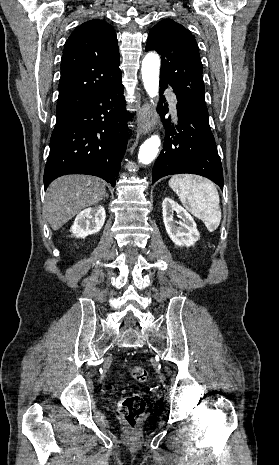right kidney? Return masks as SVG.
I'll use <instances>...</instances> for the list:
<instances>
[{
  "instance_id": "obj_1",
  "label": "right kidney",
  "mask_w": 279,
  "mask_h": 465,
  "mask_svg": "<svg viewBox=\"0 0 279 465\" xmlns=\"http://www.w3.org/2000/svg\"><path fill=\"white\" fill-rule=\"evenodd\" d=\"M105 217V209L101 205L86 208L77 215L70 230L75 237L85 238L101 230Z\"/></svg>"
}]
</instances>
